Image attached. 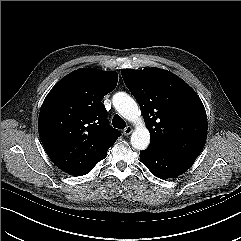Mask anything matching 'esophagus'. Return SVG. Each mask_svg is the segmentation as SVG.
Segmentation results:
<instances>
[{
    "mask_svg": "<svg viewBox=\"0 0 241 241\" xmlns=\"http://www.w3.org/2000/svg\"><path fill=\"white\" fill-rule=\"evenodd\" d=\"M132 131H133V128H132L131 126H127V127L123 130V134H124L125 136H128V135H130V134L132 133Z\"/></svg>",
    "mask_w": 241,
    "mask_h": 241,
    "instance_id": "obj_1",
    "label": "esophagus"
}]
</instances>
